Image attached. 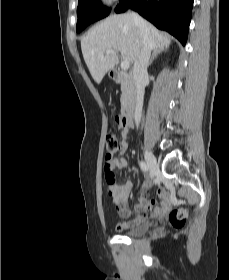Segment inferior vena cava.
<instances>
[{"mask_svg": "<svg viewBox=\"0 0 229 280\" xmlns=\"http://www.w3.org/2000/svg\"><path fill=\"white\" fill-rule=\"evenodd\" d=\"M131 15L134 23L140 29L142 38L141 51L133 66V76L136 86L135 122L138 125L142 116L144 89L148 82L147 67L149 64L153 42L146 22L137 13L133 12Z\"/></svg>", "mask_w": 229, "mask_h": 280, "instance_id": "inferior-vena-cava-1", "label": "inferior vena cava"}]
</instances>
